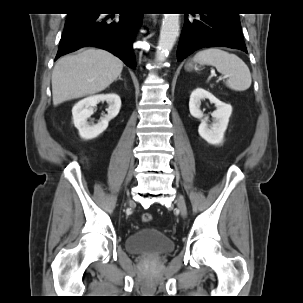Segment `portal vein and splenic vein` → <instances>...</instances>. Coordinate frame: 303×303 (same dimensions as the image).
Wrapping results in <instances>:
<instances>
[{
	"instance_id": "obj_1",
	"label": "portal vein and splenic vein",
	"mask_w": 303,
	"mask_h": 303,
	"mask_svg": "<svg viewBox=\"0 0 303 303\" xmlns=\"http://www.w3.org/2000/svg\"><path fill=\"white\" fill-rule=\"evenodd\" d=\"M216 74H215V72L214 71H212V74H211V76H215ZM226 77H221L220 78V80H222V79H225Z\"/></svg>"
}]
</instances>
